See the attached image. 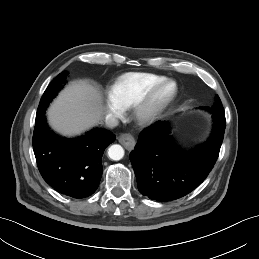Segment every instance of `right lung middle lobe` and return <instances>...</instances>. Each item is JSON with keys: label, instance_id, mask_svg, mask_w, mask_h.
I'll use <instances>...</instances> for the list:
<instances>
[{"label": "right lung middle lobe", "instance_id": "right-lung-middle-lobe-1", "mask_svg": "<svg viewBox=\"0 0 259 259\" xmlns=\"http://www.w3.org/2000/svg\"><path fill=\"white\" fill-rule=\"evenodd\" d=\"M67 77V73L63 72L59 74L56 78L52 80V82L49 84L47 89L45 90L39 106L37 110L36 120H38L40 117L44 116L45 111L49 105V103L52 101V99L57 95L58 91L63 88V84H65V79Z\"/></svg>", "mask_w": 259, "mask_h": 259}]
</instances>
